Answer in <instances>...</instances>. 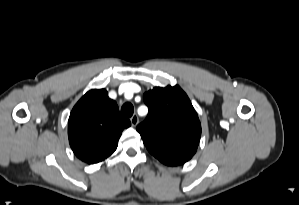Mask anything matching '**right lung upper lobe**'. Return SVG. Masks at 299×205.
Returning <instances> with one entry per match:
<instances>
[{
	"label": "right lung upper lobe",
	"instance_id": "1",
	"mask_svg": "<svg viewBox=\"0 0 299 205\" xmlns=\"http://www.w3.org/2000/svg\"><path fill=\"white\" fill-rule=\"evenodd\" d=\"M130 125L129 120L121 118L116 102L105 89L90 90L71 111L69 143L79 159L98 163L116 150L123 129Z\"/></svg>",
	"mask_w": 299,
	"mask_h": 205
}]
</instances>
